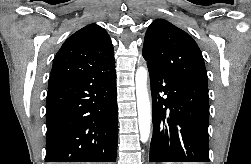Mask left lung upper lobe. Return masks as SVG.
<instances>
[{"mask_svg":"<svg viewBox=\"0 0 251 164\" xmlns=\"http://www.w3.org/2000/svg\"><path fill=\"white\" fill-rule=\"evenodd\" d=\"M143 57L147 66L208 86L204 60L196 42L166 20L157 19L149 26L144 39Z\"/></svg>","mask_w":251,"mask_h":164,"instance_id":"left-lung-upper-lobe-1","label":"left lung upper lobe"}]
</instances>
